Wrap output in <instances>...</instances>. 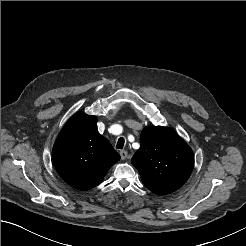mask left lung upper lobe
Listing matches in <instances>:
<instances>
[{
    "label": "left lung upper lobe",
    "instance_id": "1",
    "mask_svg": "<svg viewBox=\"0 0 246 246\" xmlns=\"http://www.w3.org/2000/svg\"><path fill=\"white\" fill-rule=\"evenodd\" d=\"M131 162L150 191L165 195L176 191L188 180L194 155L174 130L149 126L143 129L140 148Z\"/></svg>",
    "mask_w": 246,
    "mask_h": 246
}]
</instances>
